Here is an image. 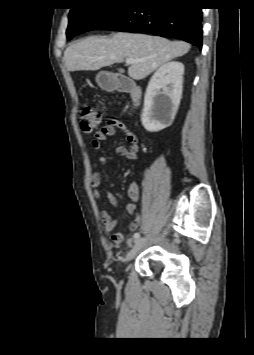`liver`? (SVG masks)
<instances>
[{"label": "liver", "instance_id": "liver-1", "mask_svg": "<svg viewBox=\"0 0 254 355\" xmlns=\"http://www.w3.org/2000/svg\"><path fill=\"white\" fill-rule=\"evenodd\" d=\"M191 45L183 41H169L145 34L116 33L111 37L90 36L71 44L64 51V65L68 71H95L124 59L137 60L130 64L128 75L141 80L159 66L186 54Z\"/></svg>", "mask_w": 254, "mask_h": 355}]
</instances>
